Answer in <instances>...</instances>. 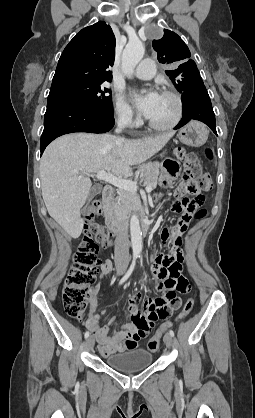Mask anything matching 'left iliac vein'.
Instances as JSON below:
<instances>
[{"instance_id":"obj_1","label":"left iliac vein","mask_w":255,"mask_h":418,"mask_svg":"<svg viewBox=\"0 0 255 418\" xmlns=\"http://www.w3.org/2000/svg\"><path fill=\"white\" fill-rule=\"evenodd\" d=\"M163 340H164V343L166 344V346L168 348H171L172 347V345H173V339H172V336L170 334H168V333L165 334Z\"/></svg>"}]
</instances>
